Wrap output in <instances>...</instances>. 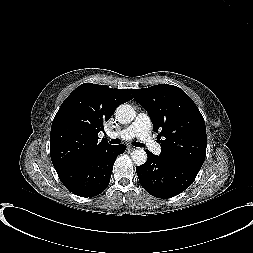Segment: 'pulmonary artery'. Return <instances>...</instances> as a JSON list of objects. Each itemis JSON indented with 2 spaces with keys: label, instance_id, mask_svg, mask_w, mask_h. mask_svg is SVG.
Here are the masks:
<instances>
[{
  "label": "pulmonary artery",
  "instance_id": "e3ab8cb5",
  "mask_svg": "<svg viewBox=\"0 0 253 253\" xmlns=\"http://www.w3.org/2000/svg\"><path fill=\"white\" fill-rule=\"evenodd\" d=\"M151 121L146 113H139L132 124L117 133H110V137L129 140L137 137L152 153L159 155L161 147L155 142L150 132Z\"/></svg>",
  "mask_w": 253,
  "mask_h": 253
}]
</instances>
